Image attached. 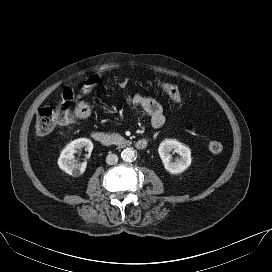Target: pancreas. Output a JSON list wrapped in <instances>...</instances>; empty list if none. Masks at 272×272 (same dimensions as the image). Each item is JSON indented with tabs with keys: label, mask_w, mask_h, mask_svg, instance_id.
I'll list each match as a JSON object with an SVG mask.
<instances>
[{
	"label": "pancreas",
	"mask_w": 272,
	"mask_h": 272,
	"mask_svg": "<svg viewBox=\"0 0 272 272\" xmlns=\"http://www.w3.org/2000/svg\"><path fill=\"white\" fill-rule=\"evenodd\" d=\"M110 138L112 143L118 146L125 145L128 142L125 140V138H123L120 134H117V133H112L110 135Z\"/></svg>",
	"instance_id": "obj_1"
}]
</instances>
